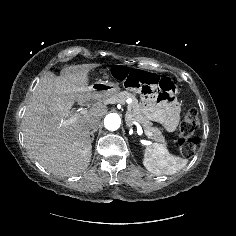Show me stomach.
Here are the masks:
<instances>
[{
    "mask_svg": "<svg viewBox=\"0 0 236 236\" xmlns=\"http://www.w3.org/2000/svg\"><path fill=\"white\" fill-rule=\"evenodd\" d=\"M93 94L101 96L103 99L111 98L120 91L119 84L111 81H98L91 86Z\"/></svg>",
    "mask_w": 236,
    "mask_h": 236,
    "instance_id": "0dacf381",
    "label": "stomach"
}]
</instances>
